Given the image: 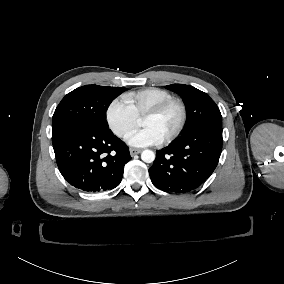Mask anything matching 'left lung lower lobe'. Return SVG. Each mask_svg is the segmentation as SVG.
Wrapping results in <instances>:
<instances>
[{
    "mask_svg": "<svg viewBox=\"0 0 284 284\" xmlns=\"http://www.w3.org/2000/svg\"><path fill=\"white\" fill-rule=\"evenodd\" d=\"M222 151V126L208 125L184 132L156 152L149 168L152 183L176 194L198 188L215 170Z\"/></svg>",
    "mask_w": 284,
    "mask_h": 284,
    "instance_id": "1",
    "label": "left lung lower lobe"
}]
</instances>
